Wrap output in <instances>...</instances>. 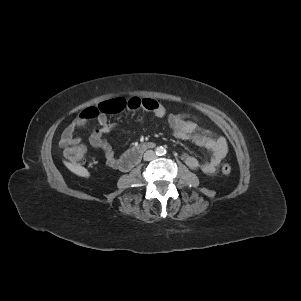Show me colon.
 Listing matches in <instances>:
<instances>
[{
	"label": "colon",
	"instance_id": "colon-1",
	"mask_svg": "<svg viewBox=\"0 0 301 301\" xmlns=\"http://www.w3.org/2000/svg\"><path fill=\"white\" fill-rule=\"evenodd\" d=\"M161 107L162 105L157 100L150 98L140 99L137 97H132L125 99L122 97H117L99 103L98 105L86 108L81 113L83 116L91 119L103 114L118 113L125 109L136 110L142 108L148 111L156 112L159 111ZM180 119L188 120L193 123L199 122V117L190 112L181 113ZM86 154L87 148L85 144L80 141L67 145L63 149L64 158L74 164L84 163ZM221 171L223 174L228 175L231 172V166L229 164H224L221 168Z\"/></svg>",
	"mask_w": 301,
	"mask_h": 301
}]
</instances>
